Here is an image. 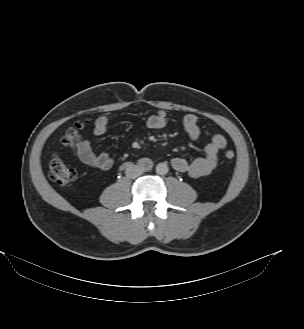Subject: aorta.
<instances>
[{"label":"aorta","mask_w":304,"mask_h":329,"mask_svg":"<svg viewBox=\"0 0 304 329\" xmlns=\"http://www.w3.org/2000/svg\"><path fill=\"white\" fill-rule=\"evenodd\" d=\"M156 172L160 175H165L168 172V165L166 163L157 164Z\"/></svg>","instance_id":"aorta-1"}]
</instances>
